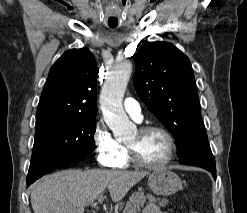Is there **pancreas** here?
Wrapping results in <instances>:
<instances>
[{
    "instance_id": "pancreas-1",
    "label": "pancreas",
    "mask_w": 247,
    "mask_h": 213,
    "mask_svg": "<svg viewBox=\"0 0 247 213\" xmlns=\"http://www.w3.org/2000/svg\"><path fill=\"white\" fill-rule=\"evenodd\" d=\"M147 200L151 204L158 202V205L160 207H165L168 204L167 199H159V198L156 199L151 194H144L143 192H135L130 196L122 213H137L138 211H140V208L145 205Z\"/></svg>"
}]
</instances>
